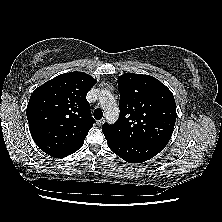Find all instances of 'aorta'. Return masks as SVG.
I'll return each instance as SVG.
<instances>
[{
  "label": "aorta",
  "mask_w": 222,
  "mask_h": 222,
  "mask_svg": "<svg viewBox=\"0 0 222 222\" xmlns=\"http://www.w3.org/2000/svg\"><path fill=\"white\" fill-rule=\"evenodd\" d=\"M99 101L108 123H115L119 116V108L113 95L107 90H101Z\"/></svg>",
  "instance_id": "1"
}]
</instances>
